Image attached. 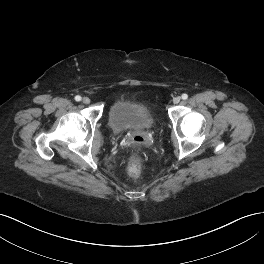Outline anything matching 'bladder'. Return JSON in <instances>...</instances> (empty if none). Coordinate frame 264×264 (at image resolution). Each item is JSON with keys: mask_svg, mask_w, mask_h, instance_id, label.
I'll return each mask as SVG.
<instances>
[{"mask_svg": "<svg viewBox=\"0 0 264 264\" xmlns=\"http://www.w3.org/2000/svg\"><path fill=\"white\" fill-rule=\"evenodd\" d=\"M107 120L112 131L116 133L129 129H149L154 124L150 110L129 99L114 101L108 109Z\"/></svg>", "mask_w": 264, "mask_h": 264, "instance_id": "31cf9c89", "label": "bladder"}]
</instances>
